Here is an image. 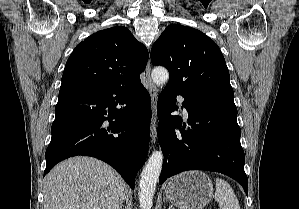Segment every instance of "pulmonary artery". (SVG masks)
I'll return each instance as SVG.
<instances>
[{"mask_svg":"<svg viewBox=\"0 0 299 209\" xmlns=\"http://www.w3.org/2000/svg\"><path fill=\"white\" fill-rule=\"evenodd\" d=\"M178 101H179V103H180L181 105H183L184 98H183L181 95H179V96H178ZM184 112H185V114H187L186 110H185Z\"/></svg>","mask_w":299,"mask_h":209,"instance_id":"obj_1","label":"pulmonary artery"}]
</instances>
